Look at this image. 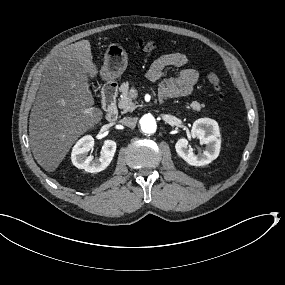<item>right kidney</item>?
Listing matches in <instances>:
<instances>
[{
	"label": "right kidney",
	"mask_w": 285,
	"mask_h": 285,
	"mask_svg": "<svg viewBox=\"0 0 285 285\" xmlns=\"http://www.w3.org/2000/svg\"><path fill=\"white\" fill-rule=\"evenodd\" d=\"M93 146L94 139L91 135L83 136L76 142L71 153V160L75 167L84 169L90 173L100 172L107 168L115 154L116 142L105 140L98 159H93L92 156H87V153L93 148Z\"/></svg>",
	"instance_id": "obj_1"
}]
</instances>
